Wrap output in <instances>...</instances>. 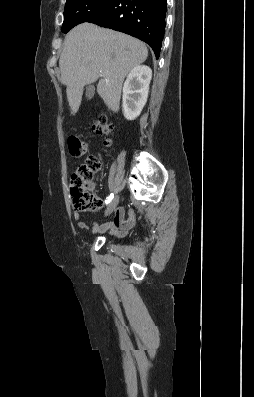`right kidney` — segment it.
<instances>
[{
	"instance_id": "ca27d5eb",
	"label": "right kidney",
	"mask_w": 254,
	"mask_h": 397,
	"mask_svg": "<svg viewBox=\"0 0 254 397\" xmlns=\"http://www.w3.org/2000/svg\"><path fill=\"white\" fill-rule=\"evenodd\" d=\"M152 70L145 65L134 67L123 86L122 106L127 120L136 119L146 104Z\"/></svg>"
}]
</instances>
